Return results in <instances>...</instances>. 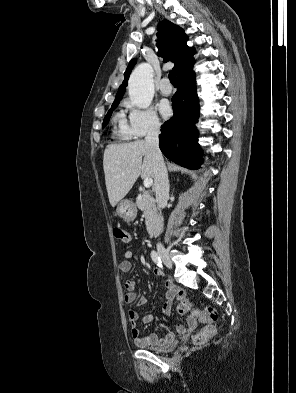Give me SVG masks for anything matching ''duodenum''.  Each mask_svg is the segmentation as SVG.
Listing matches in <instances>:
<instances>
[{
	"label": "duodenum",
	"mask_w": 296,
	"mask_h": 393,
	"mask_svg": "<svg viewBox=\"0 0 296 393\" xmlns=\"http://www.w3.org/2000/svg\"><path fill=\"white\" fill-rule=\"evenodd\" d=\"M159 232H160V228L158 225H155L150 229V234L152 237H157L159 235Z\"/></svg>",
	"instance_id": "410a0bca"
}]
</instances>
